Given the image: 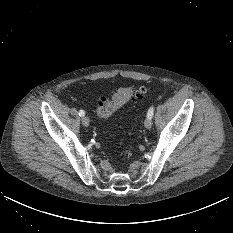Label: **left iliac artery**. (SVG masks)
Instances as JSON below:
<instances>
[{
	"label": "left iliac artery",
	"instance_id": "44dca946",
	"mask_svg": "<svg viewBox=\"0 0 233 233\" xmlns=\"http://www.w3.org/2000/svg\"><path fill=\"white\" fill-rule=\"evenodd\" d=\"M154 115V107H150V109L148 110V113H147V117L148 118H152Z\"/></svg>",
	"mask_w": 233,
	"mask_h": 233
}]
</instances>
